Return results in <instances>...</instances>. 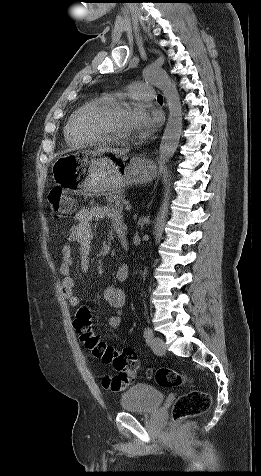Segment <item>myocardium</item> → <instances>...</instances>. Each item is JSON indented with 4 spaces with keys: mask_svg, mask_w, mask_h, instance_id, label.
I'll use <instances>...</instances> for the list:
<instances>
[{
    "mask_svg": "<svg viewBox=\"0 0 261 476\" xmlns=\"http://www.w3.org/2000/svg\"><path fill=\"white\" fill-rule=\"evenodd\" d=\"M129 102L110 100L96 103L85 110L81 117V128L89 136L106 142H125L128 137L121 136L110 130L105 120L111 114L127 109Z\"/></svg>",
    "mask_w": 261,
    "mask_h": 476,
    "instance_id": "1",
    "label": "myocardium"
}]
</instances>
